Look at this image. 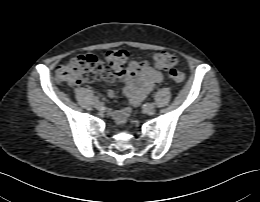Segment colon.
Returning <instances> with one entry per match:
<instances>
[{
    "label": "colon",
    "instance_id": "colon-1",
    "mask_svg": "<svg viewBox=\"0 0 260 202\" xmlns=\"http://www.w3.org/2000/svg\"><path fill=\"white\" fill-rule=\"evenodd\" d=\"M127 59L128 52L123 49L110 50L104 58L94 54L79 55L57 68L55 81L69 86L93 83L103 78L108 66L122 68ZM153 59L157 68L168 70V75L174 82L181 83L185 80V75L175 68L179 63L175 54L160 51L155 53Z\"/></svg>",
    "mask_w": 260,
    "mask_h": 202
}]
</instances>
